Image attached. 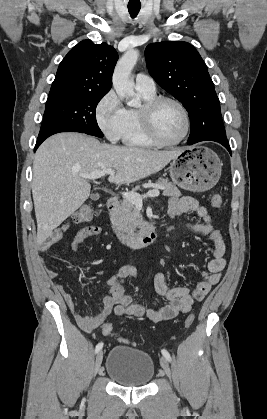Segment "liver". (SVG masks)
<instances>
[{
    "label": "liver",
    "instance_id": "1",
    "mask_svg": "<svg viewBox=\"0 0 267 419\" xmlns=\"http://www.w3.org/2000/svg\"><path fill=\"white\" fill-rule=\"evenodd\" d=\"M181 151L116 146L71 132L49 137L36 151L33 162L37 243H44L88 199L91 185L80 174L113 169L116 174L108 178L109 182L129 184L160 171Z\"/></svg>",
    "mask_w": 267,
    "mask_h": 419
}]
</instances>
